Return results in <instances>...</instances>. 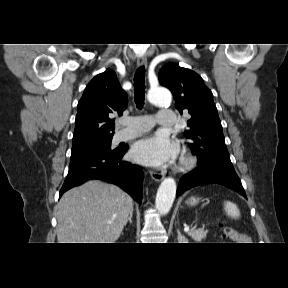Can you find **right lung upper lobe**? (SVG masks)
Segmentation results:
<instances>
[{
	"label": "right lung upper lobe",
	"instance_id": "cb5924a9",
	"mask_svg": "<svg viewBox=\"0 0 288 288\" xmlns=\"http://www.w3.org/2000/svg\"><path fill=\"white\" fill-rule=\"evenodd\" d=\"M127 94L111 70L96 75L78 103L72 148L92 145L114 134L111 114L122 115L127 108Z\"/></svg>",
	"mask_w": 288,
	"mask_h": 288
}]
</instances>
